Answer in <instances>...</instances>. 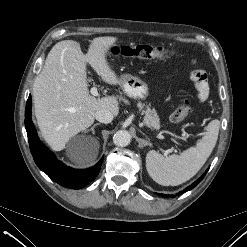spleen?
Masks as SVG:
<instances>
[{"mask_svg":"<svg viewBox=\"0 0 247 247\" xmlns=\"http://www.w3.org/2000/svg\"><path fill=\"white\" fill-rule=\"evenodd\" d=\"M219 127V120H212L205 127L204 136L196 146L180 155L164 157L155 150H150L146 155L149 176L163 186H177L191 179L211 155L218 139Z\"/></svg>","mask_w":247,"mask_h":247,"instance_id":"1","label":"spleen"}]
</instances>
